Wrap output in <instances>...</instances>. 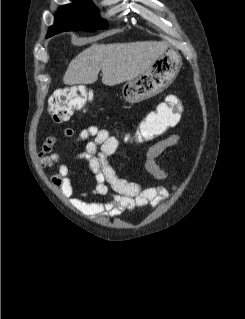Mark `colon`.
Wrapping results in <instances>:
<instances>
[{"mask_svg":"<svg viewBox=\"0 0 245 319\" xmlns=\"http://www.w3.org/2000/svg\"><path fill=\"white\" fill-rule=\"evenodd\" d=\"M93 97L92 92L82 85H73L53 94L49 111L56 121H64L74 111L79 110ZM181 111L177 97L150 112L138 125L134 140L139 143L151 142L176 124Z\"/></svg>","mask_w":245,"mask_h":319,"instance_id":"1","label":"colon"}]
</instances>
